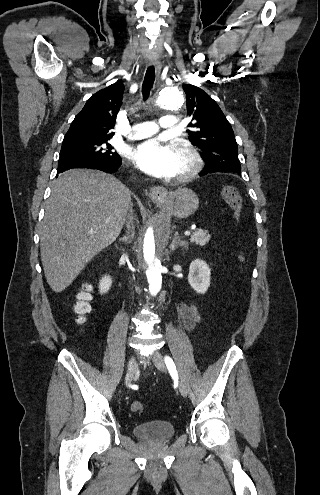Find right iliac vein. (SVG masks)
<instances>
[{
  "instance_id": "63e3f726",
  "label": "right iliac vein",
  "mask_w": 320,
  "mask_h": 495,
  "mask_svg": "<svg viewBox=\"0 0 320 495\" xmlns=\"http://www.w3.org/2000/svg\"><path fill=\"white\" fill-rule=\"evenodd\" d=\"M135 364H136L135 356L132 354L128 362L127 373L125 377L126 385H129L133 379Z\"/></svg>"
}]
</instances>
